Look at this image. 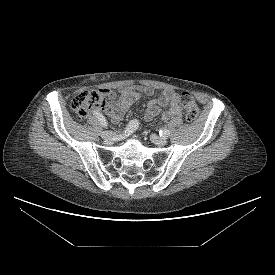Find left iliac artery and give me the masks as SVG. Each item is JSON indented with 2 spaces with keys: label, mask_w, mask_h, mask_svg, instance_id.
<instances>
[{
  "label": "left iliac artery",
  "mask_w": 275,
  "mask_h": 275,
  "mask_svg": "<svg viewBox=\"0 0 275 275\" xmlns=\"http://www.w3.org/2000/svg\"><path fill=\"white\" fill-rule=\"evenodd\" d=\"M159 134L160 136L167 138L170 135V131L168 129H161Z\"/></svg>",
  "instance_id": "left-iliac-artery-1"
}]
</instances>
